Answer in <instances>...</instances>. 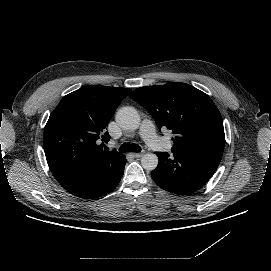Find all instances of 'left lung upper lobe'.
I'll return each mask as SVG.
<instances>
[{
  "mask_svg": "<svg viewBox=\"0 0 271 271\" xmlns=\"http://www.w3.org/2000/svg\"><path fill=\"white\" fill-rule=\"evenodd\" d=\"M130 98L149 111L159 128L171 129L174 149L194 148L223 153L221 114L210 97L180 82L135 89Z\"/></svg>",
  "mask_w": 271,
  "mask_h": 271,
  "instance_id": "left-lung-upper-lobe-1",
  "label": "left lung upper lobe"
}]
</instances>
